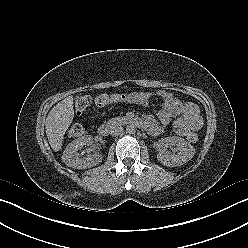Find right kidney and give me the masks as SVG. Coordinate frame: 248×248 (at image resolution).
Here are the masks:
<instances>
[{"label": "right kidney", "instance_id": "right-kidney-1", "mask_svg": "<svg viewBox=\"0 0 248 248\" xmlns=\"http://www.w3.org/2000/svg\"><path fill=\"white\" fill-rule=\"evenodd\" d=\"M93 142L91 136H83L69 143L62 155V161L75 169H87L96 166L102 161V155L93 153L87 157H81L78 152L84 146H90Z\"/></svg>", "mask_w": 248, "mask_h": 248}]
</instances>
